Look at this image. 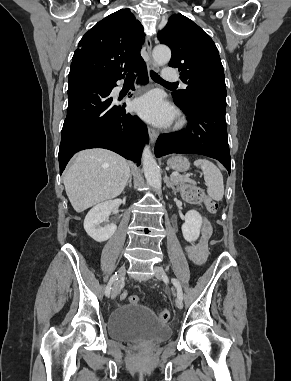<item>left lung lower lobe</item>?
<instances>
[{
    "instance_id": "0a47b994",
    "label": "left lung lower lobe",
    "mask_w": 291,
    "mask_h": 381,
    "mask_svg": "<svg viewBox=\"0 0 291 381\" xmlns=\"http://www.w3.org/2000/svg\"><path fill=\"white\" fill-rule=\"evenodd\" d=\"M177 105L188 116V126L178 133L160 135L155 145V156L171 153L205 155L220 161L230 174L226 104L193 100L188 105Z\"/></svg>"
}]
</instances>
